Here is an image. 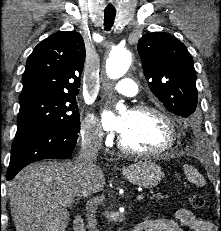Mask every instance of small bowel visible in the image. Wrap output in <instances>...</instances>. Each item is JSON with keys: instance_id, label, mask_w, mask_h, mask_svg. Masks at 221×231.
Segmentation results:
<instances>
[{"instance_id": "obj_1", "label": "small bowel", "mask_w": 221, "mask_h": 231, "mask_svg": "<svg viewBox=\"0 0 221 231\" xmlns=\"http://www.w3.org/2000/svg\"><path fill=\"white\" fill-rule=\"evenodd\" d=\"M176 220L190 231H215L213 223L199 219L186 208L176 212ZM139 231H184L176 222L162 218L146 219L136 225Z\"/></svg>"}]
</instances>
